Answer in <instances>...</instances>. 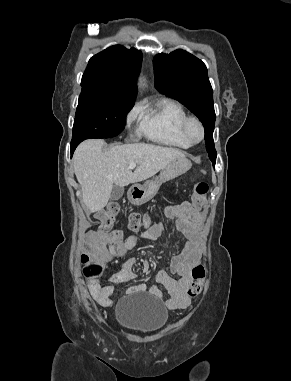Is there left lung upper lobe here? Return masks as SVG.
<instances>
[{
    "instance_id": "obj_1",
    "label": "left lung upper lobe",
    "mask_w": 291,
    "mask_h": 381,
    "mask_svg": "<svg viewBox=\"0 0 291 381\" xmlns=\"http://www.w3.org/2000/svg\"><path fill=\"white\" fill-rule=\"evenodd\" d=\"M156 88L190 109L205 127L206 150L213 165L216 150L213 141L215 111L213 90L205 64L184 50L158 54L154 58Z\"/></svg>"
}]
</instances>
